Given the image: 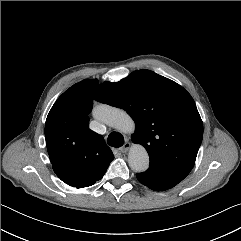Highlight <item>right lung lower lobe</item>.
Here are the masks:
<instances>
[{"mask_svg":"<svg viewBox=\"0 0 241 241\" xmlns=\"http://www.w3.org/2000/svg\"><path fill=\"white\" fill-rule=\"evenodd\" d=\"M55 174L66 184L76 187L83 188L93 185L97 180H100L103 175L92 176L90 174L79 173L64 167H53Z\"/></svg>","mask_w":241,"mask_h":241,"instance_id":"1","label":"right lung lower lobe"}]
</instances>
